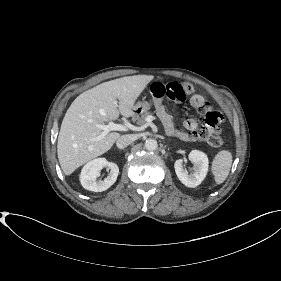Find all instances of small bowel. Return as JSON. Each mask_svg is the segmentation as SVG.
<instances>
[{"instance_id": "c3829d8e", "label": "small bowel", "mask_w": 281, "mask_h": 281, "mask_svg": "<svg viewBox=\"0 0 281 281\" xmlns=\"http://www.w3.org/2000/svg\"><path fill=\"white\" fill-rule=\"evenodd\" d=\"M190 105L198 110L208 109L209 102L200 94H194L190 98ZM157 114L168 135L174 136L180 140L190 141L198 139L196 133L199 131L198 124L195 119H186L182 128H177L173 122L172 116L167 112L164 105L157 101L155 103Z\"/></svg>"}]
</instances>
